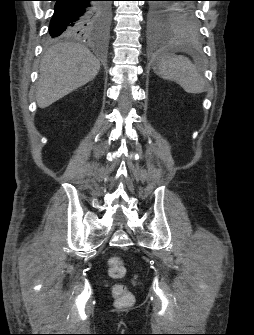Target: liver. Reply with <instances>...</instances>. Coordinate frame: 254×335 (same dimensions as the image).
I'll list each match as a JSON object with an SVG mask.
<instances>
[{"mask_svg": "<svg viewBox=\"0 0 254 335\" xmlns=\"http://www.w3.org/2000/svg\"><path fill=\"white\" fill-rule=\"evenodd\" d=\"M100 70L99 60L79 43L61 42L43 56L36 91L40 108L92 81Z\"/></svg>", "mask_w": 254, "mask_h": 335, "instance_id": "1", "label": "liver"}]
</instances>
